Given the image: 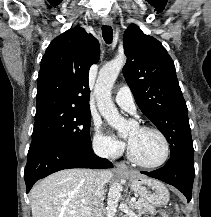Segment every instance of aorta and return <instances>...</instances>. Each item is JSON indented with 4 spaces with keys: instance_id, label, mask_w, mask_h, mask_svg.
Returning a JSON list of instances; mask_svg holds the SVG:
<instances>
[{
    "instance_id": "obj_1",
    "label": "aorta",
    "mask_w": 211,
    "mask_h": 217,
    "mask_svg": "<svg viewBox=\"0 0 211 217\" xmlns=\"http://www.w3.org/2000/svg\"><path fill=\"white\" fill-rule=\"evenodd\" d=\"M126 62L124 56H119L113 61L107 63L99 71L95 86L98 109L103 118L113 128L123 133L127 129L126 120L119 114L111 99V90L119 72ZM122 186L115 182L111 185L107 199V217H114L121 196Z\"/></svg>"
}]
</instances>
